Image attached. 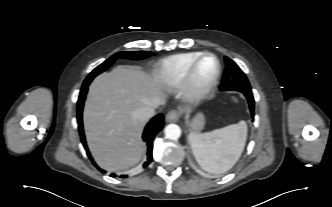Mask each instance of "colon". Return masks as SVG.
Segmentation results:
<instances>
[{
    "mask_svg": "<svg viewBox=\"0 0 332 207\" xmlns=\"http://www.w3.org/2000/svg\"><path fill=\"white\" fill-rule=\"evenodd\" d=\"M234 101H235V102H238V100H237V99H234Z\"/></svg>",
    "mask_w": 332,
    "mask_h": 207,
    "instance_id": "5ec220e1",
    "label": "colon"
}]
</instances>
